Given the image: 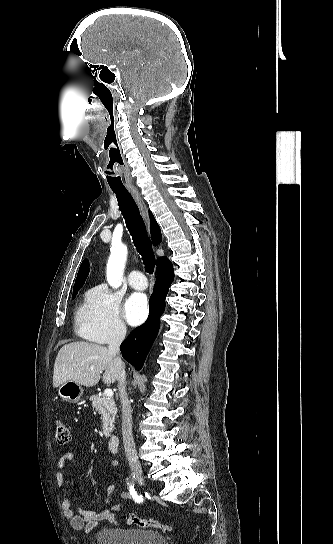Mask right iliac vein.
Listing matches in <instances>:
<instances>
[{"label":"right iliac vein","mask_w":333,"mask_h":544,"mask_svg":"<svg viewBox=\"0 0 333 544\" xmlns=\"http://www.w3.org/2000/svg\"><path fill=\"white\" fill-rule=\"evenodd\" d=\"M133 474H134V477H135V479L137 480V482H138L141 486H145V481H144V478H143V475H142V471L139 470V469H134V470H133Z\"/></svg>","instance_id":"obj_1"}]
</instances>
